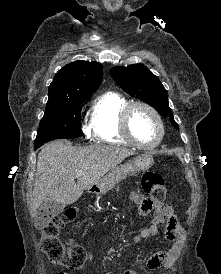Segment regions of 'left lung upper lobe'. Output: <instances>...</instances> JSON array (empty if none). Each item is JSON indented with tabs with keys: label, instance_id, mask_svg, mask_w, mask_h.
Masks as SVG:
<instances>
[{
	"label": "left lung upper lobe",
	"instance_id": "5c2ea615",
	"mask_svg": "<svg viewBox=\"0 0 221 274\" xmlns=\"http://www.w3.org/2000/svg\"><path fill=\"white\" fill-rule=\"evenodd\" d=\"M115 82L129 95L144 101L154 107L163 117H169L170 122L179 129L169 108L168 93L155 76L143 64L127 67H114L110 71Z\"/></svg>",
	"mask_w": 221,
	"mask_h": 274
}]
</instances>
